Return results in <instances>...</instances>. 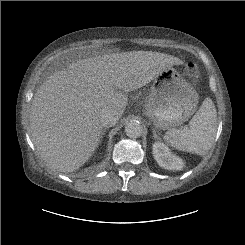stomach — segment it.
Returning <instances> with one entry per match:
<instances>
[{"mask_svg": "<svg viewBox=\"0 0 245 245\" xmlns=\"http://www.w3.org/2000/svg\"><path fill=\"white\" fill-rule=\"evenodd\" d=\"M198 100L196 90L170 66L153 78L151 93L145 104V114L156 128L174 129L195 113Z\"/></svg>", "mask_w": 245, "mask_h": 245, "instance_id": "stomach-1", "label": "stomach"}]
</instances>
